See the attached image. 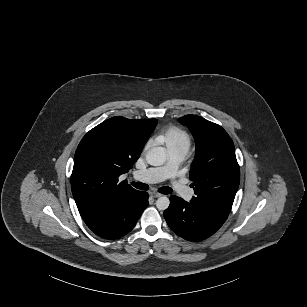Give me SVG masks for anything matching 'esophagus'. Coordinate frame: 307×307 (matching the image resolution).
<instances>
[{"instance_id": "1", "label": "esophagus", "mask_w": 307, "mask_h": 307, "mask_svg": "<svg viewBox=\"0 0 307 307\" xmlns=\"http://www.w3.org/2000/svg\"><path fill=\"white\" fill-rule=\"evenodd\" d=\"M150 195H151L153 198H159V197L162 196L160 193H157V192H151Z\"/></svg>"}]
</instances>
